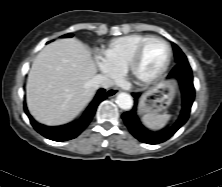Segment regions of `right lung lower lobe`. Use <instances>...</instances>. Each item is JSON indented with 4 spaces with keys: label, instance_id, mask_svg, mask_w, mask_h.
Returning <instances> with one entry per match:
<instances>
[{
    "label": "right lung lower lobe",
    "instance_id": "98d812e1",
    "mask_svg": "<svg viewBox=\"0 0 222 187\" xmlns=\"http://www.w3.org/2000/svg\"><path fill=\"white\" fill-rule=\"evenodd\" d=\"M107 98L105 89H99L83 115L75 123L62 127H46L37 123L29 114L25 106V113L28 115L34 129L44 137L53 141H66L77 137L90 123L95 115L97 106Z\"/></svg>",
    "mask_w": 222,
    "mask_h": 187
}]
</instances>
